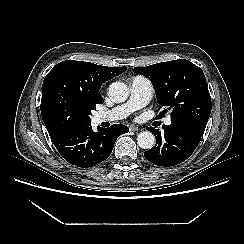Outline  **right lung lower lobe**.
Instances as JSON below:
<instances>
[{
  "label": "right lung lower lobe",
  "instance_id": "98d812e1",
  "mask_svg": "<svg viewBox=\"0 0 244 244\" xmlns=\"http://www.w3.org/2000/svg\"><path fill=\"white\" fill-rule=\"evenodd\" d=\"M92 130L91 124L70 127L50 134L60 155L70 164L87 168L106 160L116 139L129 131L128 127L114 124L110 128Z\"/></svg>",
  "mask_w": 244,
  "mask_h": 244
}]
</instances>
